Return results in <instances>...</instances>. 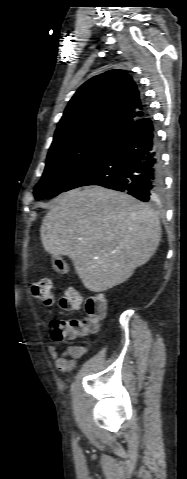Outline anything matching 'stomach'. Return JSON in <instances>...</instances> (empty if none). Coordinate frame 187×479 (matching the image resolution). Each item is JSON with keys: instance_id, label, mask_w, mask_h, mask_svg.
I'll use <instances>...</instances> for the list:
<instances>
[{"instance_id": "1", "label": "stomach", "mask_w": 187, "mask_h": 479, "mask_svg": "<svg viewBox=\"0 0 187 479\" xmlns=\"http://www.w3.org/2000/svg\"><path fill=\"white\" fill-rule=\"evenodd\" d=\"M52 265H53V268L58 273L64 274V273L68 272V265L61 256L53 257L52 258Z\"/></svg>"}]
</instances>
